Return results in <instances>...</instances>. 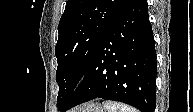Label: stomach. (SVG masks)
Returning a JSON list of instances; mask_svg holds the SVG:
<instances>
[{"label":"stomach","mask_w":193,"mask_h":112,"mask_svg":"<svg viewBox=\"0 0 193 112\" xmlns=\"http://www.w3.org/2000/svg\"><path fill=\"white\" fill-rule=\"evenodd\" d=\"M80 112H104V109L97 103L87 104Z\"/></svg>","instance_id":"obj_1"}]
</instances>
